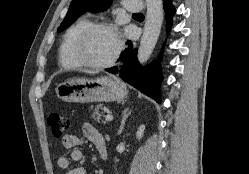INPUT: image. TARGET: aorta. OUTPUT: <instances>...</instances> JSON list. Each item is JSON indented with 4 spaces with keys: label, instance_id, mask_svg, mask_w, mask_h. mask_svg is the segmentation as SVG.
<instances>
[{
    "label": "aorta",
    "instance_id": "aorta-1",
    "mask_svg": "<svg viewBox=\"0 0 249 174\" xmlns=\"http://www.w3.org/2000/svg\"><path fill=\"white\" fill-rule=\"evenodd\" d=\"M146 5V21L137 53L140 64L146 63L150 58L158 41L163 22L162 0H146Z\"/></svg>",
    "mask_w": 249,
    "mask_h": 174
}]
</instances>
